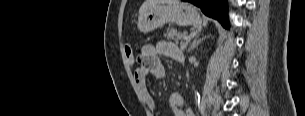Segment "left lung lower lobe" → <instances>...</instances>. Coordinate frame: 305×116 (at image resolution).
Here are the masks:
<instances>
[{
    "label": "left lung lower lobe",
    "mask_w": 305,
    "mask_h": 116,
    "mask_svg": "<svg viewBox=\"0 0 305 116\" xmlns=\"http://www.w3.org/2000/svg\"><path fill=\"white\" fill-rule=\"evenodd\" d=\"M190 3L201 8L203 13L207 16L217 19L224 27L228 28V16L226 2L217 0L208 2L206 0H187Z\"/></svg>",
    "instance_id": "obj_1"
}]
</instances>
